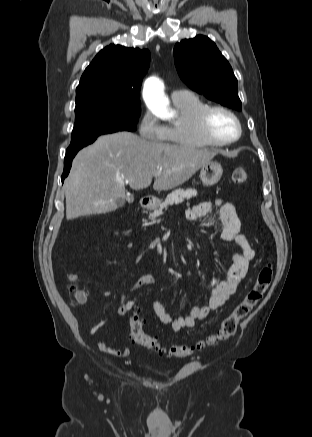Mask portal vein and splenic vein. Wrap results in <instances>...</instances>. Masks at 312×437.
<instances>
[{
  "label": "portal vein and splenic vein",
  "instance_id": "obj_1",
  "mask_svg": "<svg viewBox=\"0 0 312 437\" xmlns=\"http://www.w3.org/2000/svg\"><path fill=\"white\" fill-rule=\"evenodd\" d=\"M161 170H162V169L160 168L159 172L155 173L154 176H155V177L159 176L160 173H161Z\"/></svg>",
  "mask_w": 312,
  "mask_h": 437
}]
</instances>
